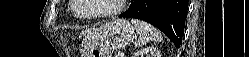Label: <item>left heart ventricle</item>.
<instances>
[{
    "label": "left heart ventricle",
    "instance_id": "obj_1",
    "mask_svg": "<svg viewBox=\"0 0 249 57\" xmlns=\"http://www.w3.org/2000/svg\"><path fill=\"white\" fill-rule=\"evenodd\" d=\"M81 6L78 9L80 15H91L113 10L118 0H80Z\"/></svg>",
    "mask_w": 249,
    "mask_h": 57
}]
</instances>
